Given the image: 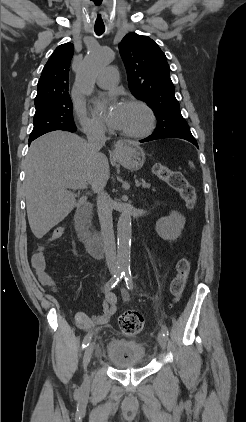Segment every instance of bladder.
Here are the masks:
<instances>
[{
	"mask_svg": "<svg viewBox=\"0 0 246 422\" xmlns=\"http://www.w3.org/2000/svg\"><path fill=\"white\" fill-rule=\"evenodd\" d=\"M106 357L119 368L140 367L146 361V347L136 340L113 338L106 345Z\"/></svg>",
	"mask_w": 246,
	"mask_h": 422,
	"instance_id": "31cf9c89",
	"label": "bladder"
}]
</instances>
